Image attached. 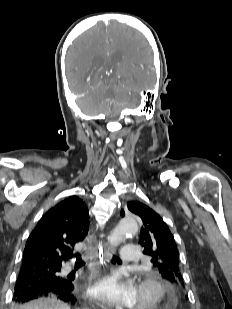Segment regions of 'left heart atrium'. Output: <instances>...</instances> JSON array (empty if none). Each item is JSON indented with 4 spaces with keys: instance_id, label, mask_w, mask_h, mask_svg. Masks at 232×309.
Wrapping results in <instances>:
<instances>
[{
    "instance_id": "obj_1",
    "label": "left heart atrium",
    "mask_w": 232,
    "mask_h": 309,
    "mask_svg": "<svg viewBox=\"0 0 232 309\" xmlns=\"http://www.w3.org/2000/svg\"><path fill=\"white\" fill-rule=\"evenodd\" d=\"M89 293L99 301L116 309L133 308L137 299V288L130 280L117 275H107L96 280Z\"/></svg>"
}]
</instances>
